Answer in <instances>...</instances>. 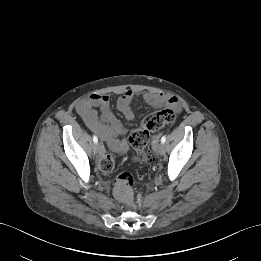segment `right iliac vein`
Instances as JSON below:
<instances>
[{
	"label": "right iliac vein",
	"instance_id": "obj_1",
	"mask_svg": "<svg viewBox=\"0 0 261 261\" xmlns=\"http://www.w3.org/2000/svg\"><path fill=\"white\" fill-rule=\"evenodd\" d=\"M99 150H100V144L95 143V144L93 145V152H94V153H98Z\"/></svg>",
	"mask_w": 261,
	"mask_h": 261
}]
</instances>
